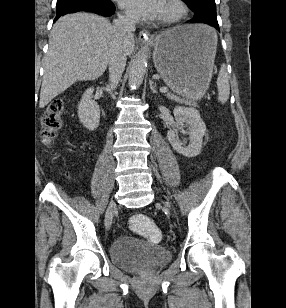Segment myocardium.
<instances>
[{"mask_svg": "<svg viewBox=\"0 0 286 308\" xmlns=\"http://www.w3.org/2000/svg\"><path fill=\"white\" fill-rule=\"evenodd\" d=\"M172 9L173 13L160 19L161 24L171 25L181 21L188 12V9L182 0H164Z\"/></svg>", "mask_w": 286, "mask_h": 308, "instance_id": "obj_1", "label": "myocardium"}]
</instances>
